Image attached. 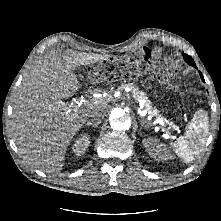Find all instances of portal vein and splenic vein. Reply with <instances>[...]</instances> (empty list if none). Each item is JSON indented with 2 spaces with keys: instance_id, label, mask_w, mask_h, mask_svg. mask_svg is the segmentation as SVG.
<instances>
[{
  "instance_id": "18ae733b",
  "label": "portal vein and splenic vein",
  "mask_w": 221,
  "mask_h": 221,
  "mask_svg": "<svg viewBox=\"0 0 221 221\" xmlns=\"http://www.w3.org/2000/svg\"><path fill=\"white\" fill-rule=\"evenodd\" d=\"M75 105L79 108L83 105H86V101L85 100H80V101H75ZM140 107H143V102H140ZM142 115H144L145 112H140ZM152 117V116H151ZM157 123H159L160 125L164 126V123L167 122L163 119H156ZM172 129L176 130V131H180L179 127L175 124H170ZM163 131L167 134V135H171V132L169 131V129L163 128Z\"/></svg>"
}]
</instances>
